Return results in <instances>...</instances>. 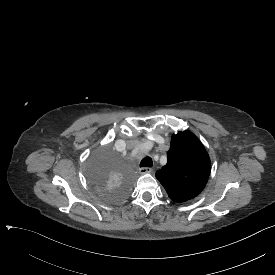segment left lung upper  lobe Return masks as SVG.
<instances>
[{
	"label": "left lung upper lobe",
	"mask_w": 275,
	"mask_h": 275,
	"mask_svg": "<svg viewBox=\"0 0 275 275\" xmlns=\"http://www.w3.org/2000/svg\"><path fill=\"white\" fill-rule=\"evenodd\" d=\"M167 157V164L155 176L168 196L175 202H184L200 194L211 168L200 140L190 131L173 134Z\"/></svg>",
	"instance_id": "left-lung-upper-lobe-1"
}]
</instances>
